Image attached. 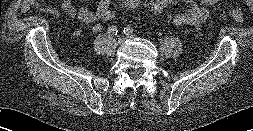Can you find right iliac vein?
Instances as JSON below:
<instances>
[{
  "instance_id": "1",
  "label": "right iliac vein",
  "mask_w": 253,
  "mask_h": 131,
  "mask_svg": "<svg viewBox=\"0 0 253 131\" xmlns=\"http://www.w3.org/2000/svg\"><path fill=\"white\" fill-rule=\"evenodd\" d=\"M117 42L119 45H121L124 42V39L122 37H120Z\"/></svg>"
}]
</instances>
